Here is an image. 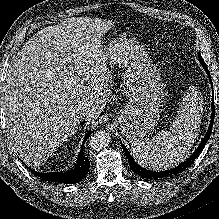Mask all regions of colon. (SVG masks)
Listing matches in <instances>:
<instances>
[{
  "mask_svg": "<svg viewBox=\"0 0 219 219\" xmlns=\"http://www.w3.org/2000/svg\"><path fill=\"white\" fill-rule=\"evenodd\" d=\"M158 42L169 49L173 61L179 63L182 60L183 50L180 46L176 45L173 40L168 37H160L158 38Z\"/></svg>",
  "mask_w": 219,
  "mask_h": 219,
  "instance_id": "colon-1",
  "label": "colon"
}]
</instances>
